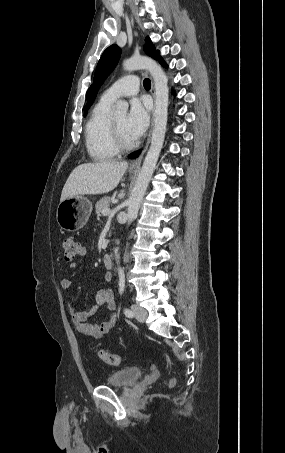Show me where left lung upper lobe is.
Instances as JSON below:
<instances>
[{
	"mask_svg": "<svg viewBox=\"0 0 285 453\" xmlns=\"http://www.w3.org/2000/svg\"><path fill=\"white\" fill-rule=\"evenodd\" d=\"M146 43L144 45V51L147 55L150 57L158 60L160 58L159 56V51L155 49L153 43L147 37L145 39ZM120 53L121 50L117 45H111L109 46L102 54L98 64L97 68L95 71L94 75V84H93V89L91 96L85 106V112L84 116H86L88 109L92 105L93 101L95 100L96 94L104 82V80L107 78V76L110 74V72L114 69L116 64L118 63V60L120 58Z\"/></svg>",
	"mask_w": 285,
	"mask_h": 453,
	"instance_id": "5c2ea615",
	"label": "left lung upper lobe"
}]
</instances>
